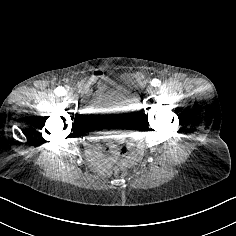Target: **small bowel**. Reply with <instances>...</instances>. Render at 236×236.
<instances>
[{"label":"small bowel","instance_id":"1","mask_svg":"<svg viewBox=\"0 0 236 236\" xmlns=\"http://www.w3.org/2000/svg\"><path fill=\"white\" fill-rule=\"evenodd\" d=\"M129 76L125 75L124 78ZM110 79L105 77L103 72L95 71L91 76L82 79L78 83L79 92L89 99L92 87L96 84L100 86V96L105 93L106 85ZM98 99L88 100L83 107L85 115H93L98 111ZM117 141L118 144H114ZM106 142L108 154L103 153L102 143ZM87 154L91 160L101 169L108 170L113 163L132 164L136 162L142 154V137L139 129L135 127H126L122 129L111 130L108 133L90 136L86 139Z\"/></svg>","mask_w":236,"mask_h":236}]
</instances>
